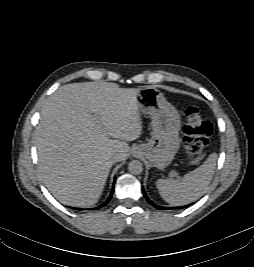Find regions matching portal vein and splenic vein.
<instances>
[{
  "label": "portal vein and splenic vein",
  "instance_id": "18ae733b",
  "mask_svg": "<svg viewBox=\"0 0 254 267\" xmlns=\"http://www.w3.org/2000/svg\"><path fill=\"white\" fill-rule=\"evenodd\" d=\"M93 120H95L96 123H98V120L95 116H92Z\"/></svg>",
  "mask_w": 254,
  "mask_h": 267
}]
</instances>
